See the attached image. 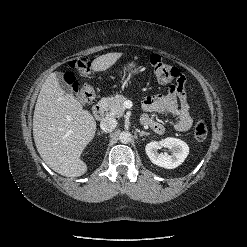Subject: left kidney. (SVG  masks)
<instances>
[{
    "mask_svg": "<svg viewBox=\"0 0 247 247\" xmlns=\"http://www.w3.org/2000/svg\"><path fill=\"white\" fill-rule=\"evenodd\" d=\"M162 147L168 148L170 153H159L158 150ZM145 151L153 164L166 169H173L184 162L189 154V147L180 139L168 137L159 142L148 143Z\"/></svg>",
    "mask_w": 247,
    "mask_h": 247,
    "instance_id": "left-kidney-1",
    "label": "left kidney"
}]
</instances>
